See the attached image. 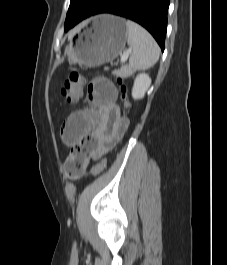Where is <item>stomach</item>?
I'll return each instance as SVG.
<instances>
[{"mask_svg": "<svg viewBox=\"0 0 227 265\" xmlns=\"http://www.w3.org/2000/svg\"><path fill=\"white\" fill-rule=\"evenodd\" d=\"M125 21L117 16L102 14L78 34L74 43L66 46L65 54L71 65L97 67L120 55L127 41Z\"/></svg>", "mask_w": 227, "mask_h": 265, "instance_id": "stomach-1", "label": "stomach"}]
</instances>
